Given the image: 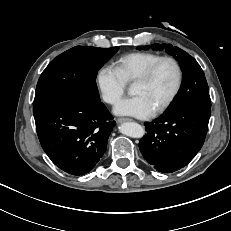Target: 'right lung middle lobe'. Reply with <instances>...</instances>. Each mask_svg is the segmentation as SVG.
Masks as SVG:
<instances>
[{
  "instance_id": "1",
  "label": "right lung middle lobe",
  "mask_w": 231,
  "mask_h": 231,
  "mask_svg": "<svg viewBox=\"0 0 231 231\" xmlns=\"http://www.w3.org/2000/svg\"><path fill=\"white\" fill-rule=\"evenodd\" d=\"M118 48L76 46L56 57L39 78L33 105L64 98L100 101L98 70Z\"/></svg>"
}]
</instances>
